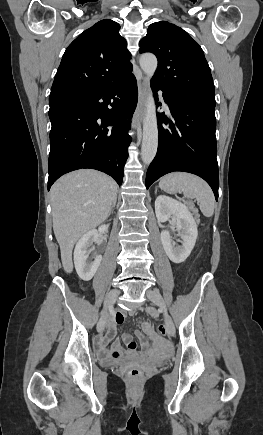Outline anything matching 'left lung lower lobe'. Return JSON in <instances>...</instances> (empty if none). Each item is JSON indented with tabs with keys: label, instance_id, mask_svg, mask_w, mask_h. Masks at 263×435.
<instances>
[{
	"label": "left lung lower lobe",
	"instance_id": "left-lung-lower-lobe-1",
	"mask_svg": "<svg viewBox=\"0 0 263 435\" xmlns=\"http://www.w3.org/2000/svg\"><path fill=\"white\" fill-rule=\"evenodd\" d=\"M163 97L172 120L165 118L163 113L157 115L160 119L158 150L147 171L146 188L167 173L189 172L203 178L211 186L217 200L219 172L215 106L178 98L165 91ZM162 121L168 123L169 128H164Z\"/></svg>",
	"mask_w": 263,
	"mask_h": 435
}]
</instances>
